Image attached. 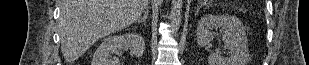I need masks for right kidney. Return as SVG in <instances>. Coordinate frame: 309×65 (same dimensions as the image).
Returning a JSON list of instances; mask_svg holds the SVG:
<instances>
[{
  "mask_svg": "<svg viewBox=\"0 0 309 65\" xmlns=\"http://www.w3.org/2000/svg\"><path fill=\"white\" fill-rule=\"evenodd\" d=\"M124 47L129 48L137 58L142 57L145 50L144 38L137 33L107 37L95 51L92 65H119V59L111 54L119 53Z\"/></svg>",
  "mask_w": 309,
  "mask_h": 65,
  "instance_id": "right-kidney-1",
  "label": "right kidney"
}]
</instances>
